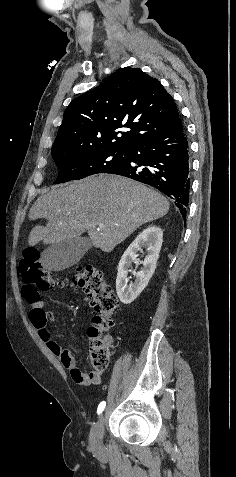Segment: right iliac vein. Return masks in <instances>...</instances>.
Instances as JSON below:
<instances>
[{
    "mask_svg": "<svg viewBox=\"0 0 236 477\" xmlns=\"http://www.w3.org/2000/svg\"><path fill=\"white\" fill-rule=\"evenodd\" d=\"M105 413L99 418L90 432V446L94 453H100L104 449L103 429L105 423Z\"/></svg>",
    "mask_w": 236,
    "mask_h": 477,
    "instance_id": "1",
    "label": "right iliac vein"
}]
</instances>
